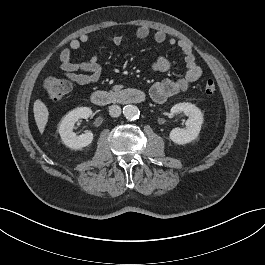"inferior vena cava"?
<instances>
[{"instance_id": "obj_1", "label": "inferior vena cava", "mask_w": 265, "mask_h": 265, "mask_svg": "<svg viewBox=\"0 0 265 265\" xmlns=\"http://www.w3.org/2000/svg\"><path fill=\"white\" fill-rule=\"evenodd\" d=\"M109 114L112 117H118L121 115V107L119 105H111L109 107Z\"/></svg>"}]
</instances>
